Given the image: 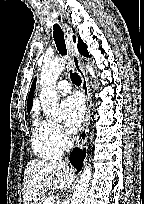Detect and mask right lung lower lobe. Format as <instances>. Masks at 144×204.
<instances>
[{"label":"right lung lower lobe","mask_w":144,"mask_h":204,"mask_svg":"<svg viewBox=\"0 0 144 204\" xmlns=\"http://www.w3.org/2000/svg\"><path fill=\"white\" fill-rule=\"evenodd\" d=\"M86 155V150H81L78 148H75L73 150V152L70 155V161L72 163V165L78 170L80 171L82 168V164H83V159L85 158Z\"/></svg>","instance_id":"1"}]
</instances>
